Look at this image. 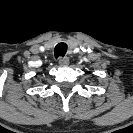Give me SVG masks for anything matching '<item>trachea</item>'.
Here are the masks:
<instances>
[{"mask_svg": "<svg viewBox=\"0 0 133 133\" xmlns=\"http://www.w3.org/2000/svg\"><path fill=\"white\" fill-rule=\"evenodd\" d=\"M67 51V44L66 43H59L56 45L54 49L55 57H63L66 54Z\"/></svg>", "mask_w": 133, "mask_h": 133, "instance_id": "1", "label": "trachea"}]
</instances>
